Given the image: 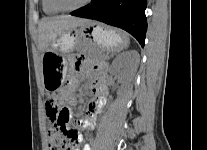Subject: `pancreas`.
Returning a JSON list of instances; mask_svg holds the SVG:
<instances>
[{"instance_id": "cf45deb5", "label": "pancreas", "mask_w": 207, "mask_h": 150, "mask_svg": "<svg viewBox=\"0 0 207 150\" xmlns=\"http://www.w3.org/2000/svg\"><path fill=\"white\" fill-rule=\"evenodd\" d=\"M103 60H105V56H103Z\"/></svg>"}]
</instances>
